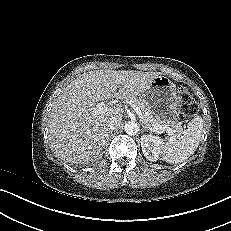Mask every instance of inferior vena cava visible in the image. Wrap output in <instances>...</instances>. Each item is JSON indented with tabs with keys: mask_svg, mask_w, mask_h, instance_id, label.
<instances>
[{
	"mask_svg": "<svg viewBox=\"0 0 231 231\" xmlns=\"http://www.w3.org/2000/svg\"><path fill=\"white\" fill-rule=\"evenodd\" d=\"M121 121L118 119H111L106 123V128L108 132L114 131L119 125Z\"/></svg>",
	"mask_w": 231,
	"mask_h": 231,
	"instance_id": "obj_1",
	"label": "inferior vena cava"
}]
</instances>
